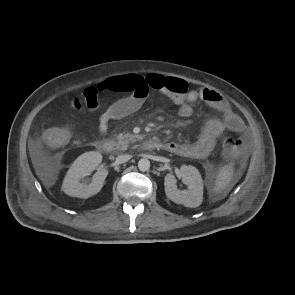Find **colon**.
Instances as JSON below:
<instances>
[{
	"label": "colon",
	"instance_id": "obj_1",
	"mask_svg": "<svg viewBox=\"0 0 295 295\" xmlns=\"http://www.w3.org/2000/svg\"><path fill=\"white\" fill-rule=\"evenodd\" d=\"M99 104L98 92L95 89L86 90L81 96L72 99L70 106L74 109H81L83 106L95 109ZM45 141L53 146L60 147L67 143L69 134L61 128H51L44 132ZM223 153L225 157L243 158L245 154L244 146L239 138L229 137L223 141Z\"/></svg>",
	"mask_w": 295,
	"mask_h": 295
}]
</instances>
